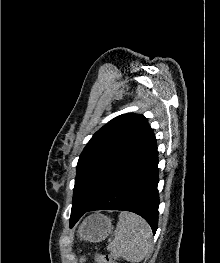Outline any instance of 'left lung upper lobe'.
Instances as JSON below:
<instances>
[{
  "label": "left lung upper lobe",
  "mask_w": 220,
  "mask_h": 263,
  "mask_svg": "<svg viewBox=\"0 0 220 263\" xmlns=\"http://www.w3.org/2000/svg\"><path fill=\"white\" fill-rule=\"evenodd\" d=\"M156 141L147 119L120 115L87 143L77 164L72 210L89 208Z\"/></svg>",
  "instance_id": "obj_1"
}]
</instances>
